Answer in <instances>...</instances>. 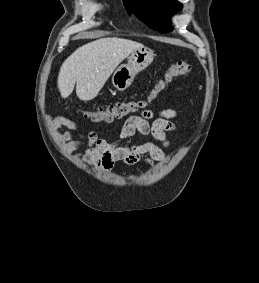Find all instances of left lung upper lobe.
Returning a JSON list of instances; mask_svg holds the SVG:
<instances>
[{
  "instance_id": "5c2ea615",
  "label": "left lung upper lobe",
  "mask_w": 259,
  "mask_h": 283,
  "mask_svg": "<svg viewBox=\"0 0 259 283\" xmlns=\"http://www.w3.org/2000/svg\"><path fill=\"white\" fill-rule=\"evenodd\" d=\"M125 7L145 22L150 28L161 33L173 29L170 17L182 9L177 0H123Z\"/></svg>"
}]
</instances>
